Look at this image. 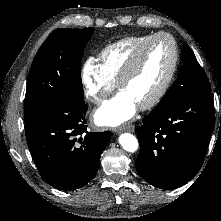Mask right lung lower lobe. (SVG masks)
Returning a JSON list of instances; mask_svg holds the SVG:
<instances>
[{
	"instance_id": "98d812e1",
	"label": "right lung lower lobe",
	"mask_w": 221,
	"mask_h": 221,
	"mask_svg": "<svg viewBox=\"0 0 221 221\" xmlns=\"http://www.w3.org/2000/svg\"><path fill=\"white\" fill-rule=\"evenodd\" d=\"M86 112L84 100L66 98L45 107L25 124L37 169L56 189L75 190L91 181L112 136L110 131L87 132Z\"/></svg>"
}]
</instances>
